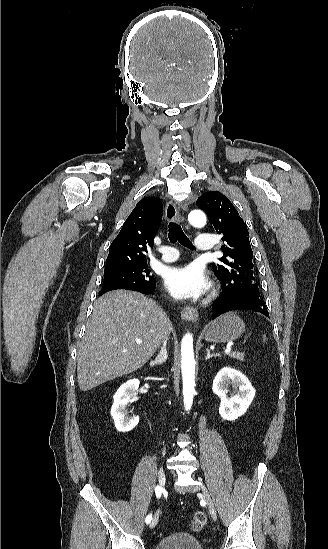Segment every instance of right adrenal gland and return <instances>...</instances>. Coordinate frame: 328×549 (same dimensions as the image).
Here are the masks:
<instances>
[{"instance_id":"2a0ac1e0","label":"right adrenal gland","mask_w":328,"mask_h":549,"mask_svg":"<svg viewBox=\"0 0 328 549\" xmlns=\"http://www.w3.org/2000/svg\"><path fill=\"white\" fill-rule=\"evenodd\" d=\"M168 355H167V351H166V341L163 345V347H161V351L158 355V357H156L154 363H159V365H161V363H165L166 359H167Z\"/></svg>"}]
</instances>
